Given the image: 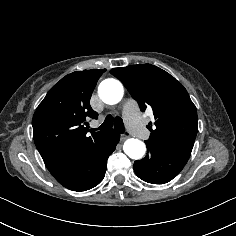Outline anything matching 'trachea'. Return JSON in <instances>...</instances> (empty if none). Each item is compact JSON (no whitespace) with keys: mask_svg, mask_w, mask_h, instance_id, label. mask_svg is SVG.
<instances>
[{"mask_svg":"<svg viewBox=\"0 0 236 236\" xmlns=\"http://www.w3.org/2000/svg\"><path fill=\"white\" fill-rule=\"evenodd\" d=\"M115 127V129L121 133H124V123L123 120L120 117H116L115 119L111 116L108 115L105 120L104 123L99 127V129H106L109 130L112 127Z\"/></svg>","mask_w":236,"mask_h":236,"instance_id":"3493384b","label":"trachea"}]
</instances>
